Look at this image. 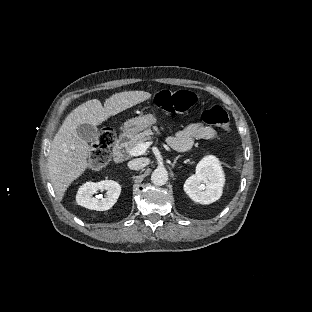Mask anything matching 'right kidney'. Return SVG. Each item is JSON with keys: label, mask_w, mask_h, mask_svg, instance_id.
<instances>
[{"label": "right kidney", "mask_w": 312, "mask_h": 312, "mask_svg": "<svg viewBox=\"0 0 312 312\" xmlns=\"http://www.w3.org/2000/svg\"><path fill=\"white\" fill-rule=\"evenodd\" d=\"M106 190V194L93 197L98 191ZM121 186L113 180H103L97 183L86 182L78 189L76 202L85 208L97 211L110 209L119 198Z\"/></svg>", "instance_id": "right-kidney-1"}]
</instances>
